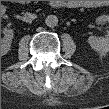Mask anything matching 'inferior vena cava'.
I'll use <instances>...</instances> for the list:
<instances>
[{"label":"inferior vena cava","mask_w":109,"mask_h":109,"mask_svg":"<svg viewBox=\"0 0 109 109\" xmlns=\"http://www.w3.org/2000/svg\"><path fill=\"white\" fill-rule=\"evenodd\" d=\"M36 15L35 14H33V13H25V15L23 16V18H22V20L24 21V22H28V23H30V22H32L34 19H36Z\"/></svg>","instance_id":"inferior-vena-cava-1"}]
</instances>
